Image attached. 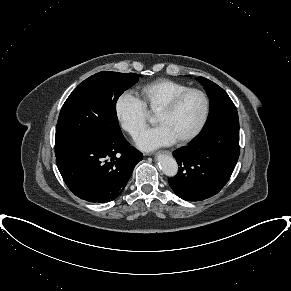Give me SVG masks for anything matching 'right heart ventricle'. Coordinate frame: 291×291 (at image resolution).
<instances>
[{
    "mask_svg": "<svg viewBox=\"0 0 291 291\" xmlns=\"http://www.w3.org/2000/svg\"><path fill=\"white\" fill-rule=\"evenodd\" d=\"M187 88L182 82L162 78L139 87L138 95L146 110L157 112L174 95Z\"/></svg>",
    "mask_w": 291,
    "mask_h": 291,
    "instance_id": "obj_1",
    "label": "right heart ventricle"
}]
</instances>
